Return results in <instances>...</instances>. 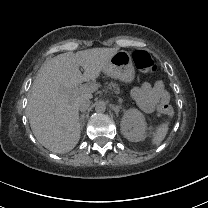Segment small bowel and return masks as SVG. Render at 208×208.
<instances>
[{
  "label": "small bowel",
  "mask_w": 208,
  "mask_h": 208,
  "mask_svg": "<svg viewBox=\"0 0 208 208\" xmlns=\"http://www.w3.org/2000/svg\"><path fill=\"white\" fill-rule=\"evenodd\" d=\"M131 97L138 102L140 108L146 113L157 111L160 104H167L169 101V95L161 80L156 81L154 85L145 81L140 87H134L131 91Z\"/></svg>",
  "instance_id": "small-bowel-1"
}]
</instances>
